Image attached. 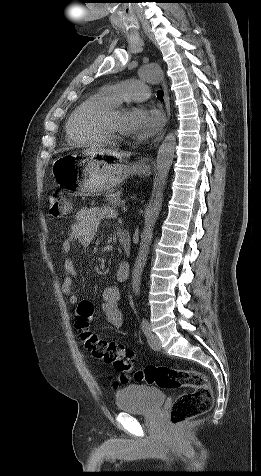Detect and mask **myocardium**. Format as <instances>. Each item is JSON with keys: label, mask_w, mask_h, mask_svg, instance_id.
<instances>
[{"label": "myocardium", "mask_w": 261, "mask_h": 476, "mask_svg": "<svg viewBox=\"0 0 261 476\" xmlns=\"http://www.w3.org/2000/svg\"><path fill=\"white\" fill-rule=\"evenodd\" d=\"M125 110L124 107L118 103L105 108L98 112L93 117V125L98 132L108 137L110 140H122L126 138V135L117 131L112 125L113 116L119 112Z\"/></svg>", "instance_id": "f54148a6"}]
</instances>
